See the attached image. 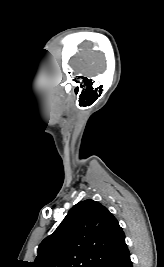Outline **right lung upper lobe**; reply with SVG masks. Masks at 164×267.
<instances>
[{"label": "right lung upper lobe", "instance_id": "obj_1", "mask_svg": "<svg viewBox=\"0 0 164 267\" xmlns=\"http://www.w3.org/2000/svg\"><path fill=\"white\" fill-rule=\"evenodd\" d=\"M125 246L116 218L101 203L87 199L71 208L41 242L33 267H99Z\"/></svg>", "mask_w": 164, "mask_h": 267}]
</instances>
